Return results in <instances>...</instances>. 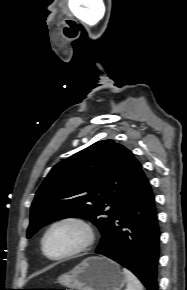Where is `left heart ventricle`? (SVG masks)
I'll return each mask as SVG.
<instances>
[{
	"instance_id": "left-heart-ventricle-1",
	"label": "left heart ventricle",
	"mask_w": 187,
	"mask_h": 290,
	"mask_svg": "<svg viewBox=\"0 0 187 290\" xmlns=\"http://www.w3.org/2000/svg\"><path fill=\"white\" fill-rule=\"evenodd\" d=\"M83 241V233L73 225L55 228L46 240V251L51 256H59L78 247Z\"/></svg>"
}]
</instances>
